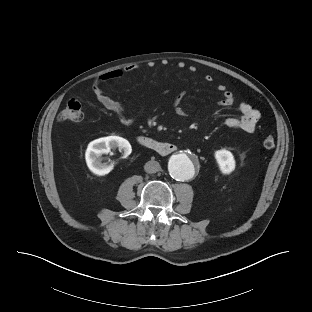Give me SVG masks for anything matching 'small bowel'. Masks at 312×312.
Masks as SVG:
<instances>
[{"mask_svg": "<svg viewBox=\"0 0 312 312\" xmlns=\"http://www.w3.org/2000/svg\"><path fill=\"white\" fill-rule=\"evenodd\" d=\"M149 67H154L155 63L150 62ZM140 66L138 65H129L121 69H116L104 74L97 76L92 84L93 93L98 100V102L105 107L106 109L112 111L119 118L120 122L125 126H132L138 118L141 116L142 111H139L134 116H128L125 110L124 105L111 98L103 89L102 85L107 81L120 79L126 74L138 71ZM207 81H211L212 77L207 75L205 78ZM217 90L221 93V99L219 101V106L221 107H230L234 104V96L231 91L227 90L224 85H219ZM175 112L178 115H184L183 109L179 106L178 102L174 105ZM239 111L241 113L240 117H228L225 120V125L231 129H239L247 133H252L260 119V113L258 110L253 108L248 103H241L239 105Z\"/></svg>", "mask_w": 312, "mask_h": 312, "instance_id": "small-bowel-1", "label": "small bowel"}]
</instances>
